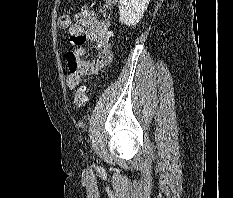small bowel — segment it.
I'll return each mask as SVG.
<instances>
[{
	"label": "small bowel",
	"mask_w": 233,
	"mask_h": 198,
	"mask_svg": "<svg viewBox=\"0 0 233 198\" xmlns=\"http://www.w3.org/2000/svg\"><path fill=\"white\" fill-rule=\"evenodd\" d=\"M117 0H103L104 11L98 16L93 11L83 9L74 16V23L68 28L72 48L66 53L69 73L65 78L69 89L76 88L84 75H95L111 60L110 42L112 38V9ZM92 42L96 53L87 56L83 45ZM72 56L76 64L74 71L70 70L68 57Z\"/></svg>",
	"instance_id": "obj_1"
}]
</instances>
